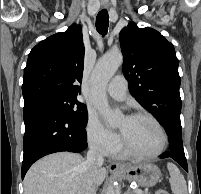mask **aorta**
Returning <instances> with one entry per match:
<instances>
[{
    "label": "aorta",
    "mask_w": 201,
    "mask_h": 194,
    "mask_svg": "<svg viewBox=\"0 0 201 194\" xmlns=\"http://www.w3.org/2000/svg\"><path fill=\"white\" fill-rule=\"evenodd\" d=\"M122 62L123 56L120 51L107 53L97 61L91 76L93 103L99 113L111 126H116L119 123V120L122 117V113L120 111H113L109 107L106 96V86ZM115 188L116 185L114 182H112L108 186L106 194H116Z\"/></svg>",
    "instance_id": "1"
}]
</instances>
